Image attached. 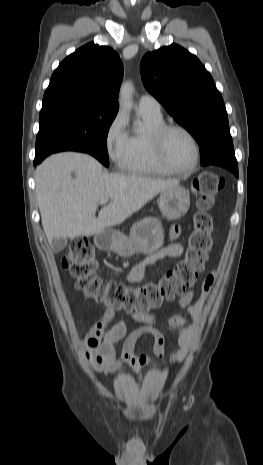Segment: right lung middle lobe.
<instances>
[{"instance_id": "obj_1", "label": "right lung middle lobe", "mask_w": 263, "mask_h": 465, "mask_svg": "<svg viewBox=\"0 0 263 465\" xmlns=\"http://www.w3.org/2000/svg\"><path fill=\"white\" fill-rule=\"evenodd\" d=\"M118 109L74 101L43 104L39 117L35 159L79 150L108 166L107 135Z\"/></svg>"}]
</instances>
